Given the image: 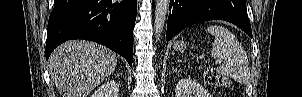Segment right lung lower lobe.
<instances>
[{"instance_id":"98d812e1","label":"right lung lower lobe","mask_w":302,"mask_h":97,"mask_svg":"<svg viewBox=\"0 0 302 97\" xmlns=\"http://www.w3.org/2000/svg\"><path fill=\"white\" fill-rule=\"evenodd\" d=\"M137 0H55L47 27L46 60L61 43L85 39L133 61Z\"/></svg>"}]
</instances>
